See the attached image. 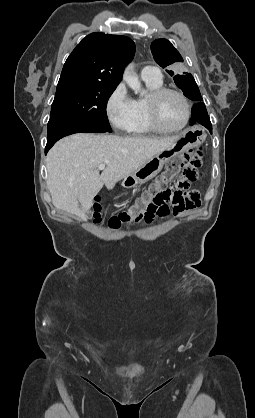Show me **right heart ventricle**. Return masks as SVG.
Listing matches in <instances>:
<instances>
[{
    "label": "right heart ventricle",
    "mask_w": 255,
    "mask_h": 418,
    "mask_svg": "<svg viewBox=\"0 0 255 418\" xmlns=\"http://www.w3.org/2000/svg\"><path fill=\"white\" fill-rule=\"evenodd\" d=\"M150 93L161 88L163 86L162 80L160 81H145ZM135 101V113L132 125L129 132L134 135H146L156 132L151 126L148 111H147V98H140Z\"/></svg>",
    "instance_id": "e07e8e85"
}]
</instances>
